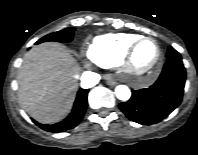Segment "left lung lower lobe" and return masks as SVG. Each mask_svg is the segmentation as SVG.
Wrapping results in <instances>:
<instances>
[{
  "label": "left lung lower lobe",
  "instance_id": "obj_1",
  "mask_svg": "<svg viewBox=\"0 0 198 155\" xmlns=\"http://www.w3.org/2000/svg\"><path fill=\"white\" fill-rule=\"evenodd\" d=\"M185 79L182 60H167L155 84L148 89L133 90L129 101L120 103L119 108L131 121L156 124L181 103Z\"/></svg>",
  "mask_w": 198,
  "mask_h": 155
}]
</instances>
